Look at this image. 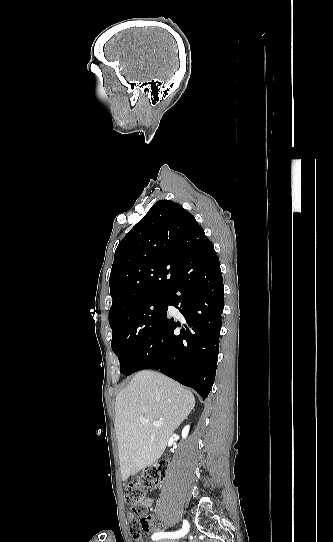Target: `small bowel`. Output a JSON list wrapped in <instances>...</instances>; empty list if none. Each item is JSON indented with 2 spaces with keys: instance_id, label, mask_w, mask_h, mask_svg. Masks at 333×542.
<instances>
[{
  "instance_id": "1",
  "label": "small bowel",
  "mask_w": 333,
  "mask_h": 542,
  "mask_svg": "<svg viewBox=\"0 0 333 542\" xmlns=\"http://www.w3.org/2000/svg\"><path fill=\"white\" fill-rule=\"evenodd\" d=\"M154 503V497L148 496L146 497L143 502L141 503V506L144 508H150ZM134 514V513H133ZM140 527L143 529L144 533H149L150 531H153L154 533H160L162 532L163 528L161 525L157 524H151L149 522H142L140 524Z\"/></svg>"
}]
</instances>
